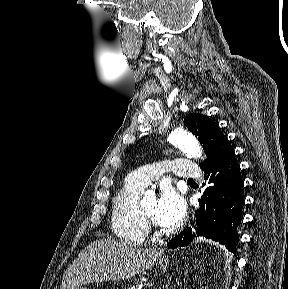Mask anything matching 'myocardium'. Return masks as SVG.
<instances>
[{
	"mask_svg": "<svg viewBox=\"0 0 288 289\" xmlns=\"http://www.w3.org/2000/svg\"><path fill=\"white\" fill-rule=\"evenodd\" d=\"M137 213H138V217L139 220L141 221V223L148 229L151 227H154V221L152 219H150L142 210L141 206L138 205L137 207Z\"/></svg>",
	"mask_w": 288,
	"mask_h": 289,
	"instance_id": "1",
	"label": "myocardium"
}]
</instances>
